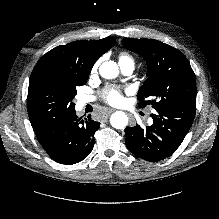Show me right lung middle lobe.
<instances>
[{"label": "right lung middle lobe", "instance_id": "obj_1", "mask_svg": "<svg viewBox=\"0 0 219 219\" xmlns=\"http://www.w3.org/2000/svg\"><path fill=\"white\" fill-rule=\"evenodd\" d=\"M86 82L68 84L54 78L50 71L32 73L27 98L29 118L38 123L75 109L72 99L76 87Z\"/></svg>", "mask_w": 219, "mask_h": 219}]
</instances>
